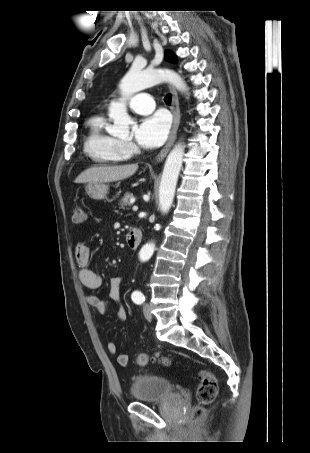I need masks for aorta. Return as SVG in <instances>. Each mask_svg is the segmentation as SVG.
Instances as JSON below:
<instances>
[{
    "label": "aorta",
    "mask_w": 310,
    "mask_h": 453,
    "mask_svg": "<svg viewBox=\"0 0 310 453\" xmlns=\"http://www.w3.org/2000/svg\"><path fill=\"white\" fill-rule=\"evenodd\" d=\"M170 82L177 90L185 93L186 84L179 74L168 69H145L141 70L135 66L131 67L126 75L122 78L119 85L123 97L132 95L145 88L154 86L160 82ZM109 117L113 120L111 133L115 136L129 134V126L132 119L127 113V107L123 100L112 103L109 107ZM184 145L179 142L170 151L163 169V174L159 186V204L162 213H168L170 210L178 176L183 162ZM155 245L153 243L145 244L139 252L141 261H148L153 255Z\"/></svg>",
    "instance_id": "aorta-1"
}]
</instances>
